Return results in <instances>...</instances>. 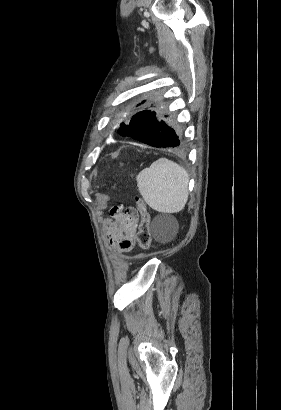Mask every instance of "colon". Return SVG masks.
Wrapping results in <instances>:
<instances>
[{
    "label": "colon",
    "instance_id": "1",
    "mask_svg": "<svg viewBox=\"0 0 281 410\" xmlns=\"http://www.w3.org/2000/svg\"><path fill=\"white\" fill-rule=\"evenodd\" d=\"M137 211L141 217V223L138 231V245L142 250H148L151 246V232H150V216L147 211L146 204L143 199L136 200ZM113 216H131L129 211H126L122 205L114 206L111 210Z\"/></svg>",
    "mask_w": 281,
    "mask_h": 410
}]
</instances>
